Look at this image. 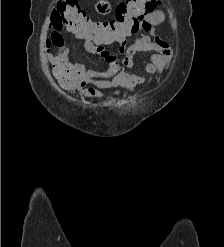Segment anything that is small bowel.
<instances>
[{
	"label": "small bowel",
	"mask_w": 224,
	"mask_h": 247,
	"mask_svg": "<svg viewBox=\"0 0 224 247\" xmlns=\"http://www.w3.org/2000/svg\"><path fill=\"white\" fill-rule=\"evenodd\" d=\"M95 8L99 13L106 14L110 11V3L107 0H98ZM165 20L166 15L161 10L147 14L140 24L139 35L131 41L132 34L112 42L119 45L118 55H113L106 50L105 45L111 44L110 42L84 40V48L88 53L102 57L109 64V68L105 71L84 72L82 83L92 85L91 88L85 89V96L99 100L102 98V89L121 88L133 91L151 81V79L133 73V69L144 71L155 77L163 74L168 67L173 49L167 39L161 38L156 33L155 27ZM47 26L51 29V34L46 39V48L55 46L58 48L56 60L66 61L69 52L63 37V30L66 27L55 7L49 13ZM145 52L155 53L150 56L149 63L136 65V55ZM118 94L119 92H115L112 96Z\"/></svg>",
	"instance_id": "small-bowel-1"
}]
</instances>
